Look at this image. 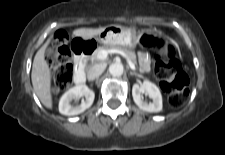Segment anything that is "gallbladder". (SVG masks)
Masks as SVG:
<instances>
[{
  "label": "gallbladder",
  "mask_w": 225,
  "mask_h": 155,
  "mask_svg": "<svg viewBox=\"0 0 225 155\" xmlns=\"http://www.w3.org/2000/svg\"><path fill=\"white\" fill-rule=\"evenodd\" d=\"M49 53L51 56H53L54 58L58 57V53L54 52L53 50H49Z\"/></svg>",
  "instance_id": "1"
}]
</instances>
